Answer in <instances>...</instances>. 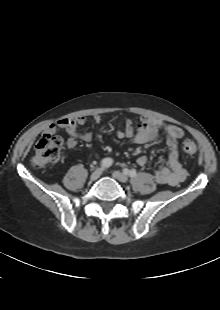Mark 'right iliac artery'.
I'll return each mask as SVG.
<instances>
[{
    "mask_svg": "<svg viewBox=\"0 0 220 310\" xmlns=\"http://www.w3.org/2000/svg\"><path fill=\"white\" fill-rule=\"evenodd\" d=\"M113 163V160L111 158H104L102 161H101V167L104 169V168H108L112 165Z\"/></svg>",
    "mask_w": 220,
    "mask_h": 310,
    "instance_id": "obj_1",
    "label": "right iliac artery"
}]
</instances>
